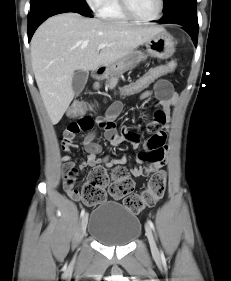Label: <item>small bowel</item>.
Segmentation results:
<instances>
[{"instance_id": "obj_1", "label": "small bowel", "mask_w": 231, "mask_h": 281, "mask_svg": "<svg viewBox=\"0 0 231 281\" xmlns=\"http://www.w3.org/2000/svg\"><path fill=\"white\" fill-rule=\"evenodd\" d=\"M154 96L158 108L154 112L153 120L148 125V130L152 135L144 144V151L137 154V162L139 164L148 163L147 165H139L130 170V174L134 178L147 177L150 174L161 169L166 163L167 145L166 132L171 125L170 110L176 104L177 96L173 92L170 83L167 80H159L154 85V91H145L140 94L141 98H149ZM122 104L114 102L108 108L105 117L92 118L90 116H82L77 121L71 122L64 131L63 149L67 155L61 157L63 187L68 196L74 200H80L75 194V181L78 176V168L72 160L69 153L76 147L75 137L80 131H91L94 125H98L104 130L105 138L113 145L119 146L124 142L131 143L137 147L140 144V136L127 129H123L119 133L116 129L114 120L120 114ZM95 133L89 132L83 139L85 151L88 153L87 159L82 161L79 169L82 171L87 167H106L122 166L127 162L126 157L110 158L109 156L99 157L101 146L94 141Z\"/></svg>"}]
</instances>
